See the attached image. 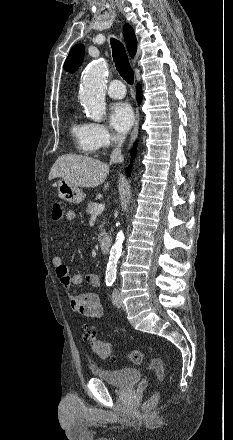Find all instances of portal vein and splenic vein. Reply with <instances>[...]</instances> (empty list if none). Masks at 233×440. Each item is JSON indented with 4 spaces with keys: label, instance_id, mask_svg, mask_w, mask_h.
I'll list each match as a JSON object with an SVG mask.
<instances>
[{
    "label": "portal vein and splenic vein",
    "instance_id": "18ae733b",
    "mask_svg": "<svg viewBox=\"0 0 233 440\" xmlns=\"http://www.w3.org/2000/svg\"><path fill=\"white\" fill-rule=\"evenodd\" d=\"M104 209H105V204L101 203L96 207L94 214H99V213L103 212Z\"/></svg>",
    "mask_w": 233,
    "mask_h": 440
}]
</instances>
